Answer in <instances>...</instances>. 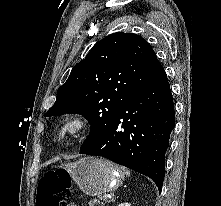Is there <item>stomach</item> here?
Returning a JSON list of instances; mask_svg holds the SVG:
<instances>
[{
  "label": "stomach",
  "instance_id": "obj_1",
  "mask_svg": "<svg viewBox=\"0 0 221 206\" xmlns=\"http://www.w3.org/2000/svg\"><path fill=\"white\" fill-rule=\"evenodd\" d=\"M55 168H65L71 179L88 195L114 191L124 180V172L120 167L96 157H85L74 163L57 165Z\"/></svg>",
  "mask_w": 221,
  "mask_h": 206
}]
</instances>
